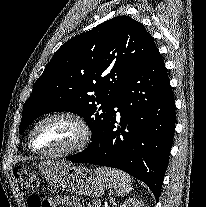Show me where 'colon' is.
I'll use <instances>...</instances> for the list:
<instances>
[{
    "mask_svg": "<svg viewBox=\"0 0 206 207\" xmlns=\"http://www.w3.org/2000/svg\"><path fill=\"white\" fill-rule=\"evenodd\" d=\"M14 173L22 191L28 195V207H51L48 200L39 197L35 193L37 179L30 171L23 167H18Z\"/></svg>",
    "mask_w": 206,
    "mask_h": 207,
    "instance_id": "colon-1",
    "label": "colon"
}]
</instances>
